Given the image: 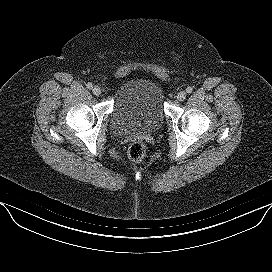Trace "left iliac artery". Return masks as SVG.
<instances>
[{
  "mask_svg": "<svg viewBox=\"0 0 272 272\" xmlns=\"http://www.w3.org/2000/svg\"><path fill=\"white\" fill-rule=\"evenodd\" d=\"M192 91H193V88H192V87H187V88H186V92H187V93L190 94Z\"/></svg>",
  "mask_w": 272,
  "mask_h": 272,
  "instance_id": "1",
  "label": "left iliac artery"
}]
</instances>
